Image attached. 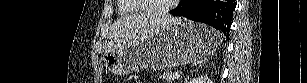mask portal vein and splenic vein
Segmentation results:
<instances>
[{"instance_id": "obj_1", "label": "portal vein and splenic vein", "mask_w": 307, "mask_h": 83, "mask_svg": "<svg viewBox=\"0 0 307 83\" xmlns=\"http://www.w3.org/2000/svg\"><path fill=\"white\" fill-rule=\"evenodd\" d=\"M173 77H174L175 79H179V78H180V74H179V73H175V74L173 75Z\"/></svg>"}]
</instances>
